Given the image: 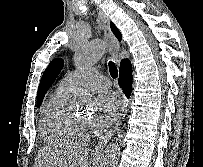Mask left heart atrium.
Instances as JSON below:
<instances>
[{"instance_id":"1","label":"left heart atrium","mask_w":203,"mask_h":167,"mask_svg":"<svg viewBox=\"0 0 203 167\" xmlns=\"http://www.w3.org/2000/svg\"><path fill=\"white\" fill-rule=\"evenodd\" d=\"M121 107V99L115 92H103L97 99L95 123L100 127L110 125L117 118Z\"/></svg>"}]
</instances>
